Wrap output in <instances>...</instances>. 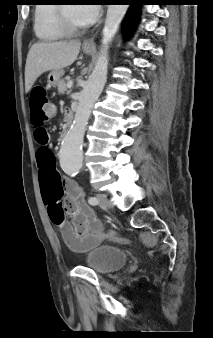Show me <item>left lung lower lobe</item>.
Returning <instances> with one entry per match:
<instances>
[{"instance_id": "0a47b994", "label": "left lung lower lobe", "mask_w": 213, "mask_h": 338, "mask_svg": "<svg viewBox=\"0 0 213 338\" xmlns=\"http://www.w3.org/2000/svg\"><path fill=\"white\" fill-rule=\"evenodd\" d=\"M143 0H122V2H127L131 5V8L128 11L126 16L124 26H125V35L129 36L132 31L134 30L137 21L139 19V8L138 6L141 5L140 3Z\"/></svg>"}]
</instances>
